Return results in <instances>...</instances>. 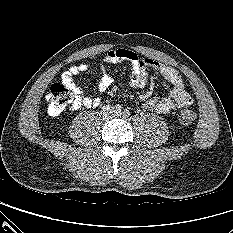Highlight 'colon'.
Returning a JSON list of instances; mask_svg holds the SVG:
<instances>
[{
  "label": "colon",
  "mask_w": 233,
  "mask_h": 233,
  "mask_svg": "<svg viewBox=\"0 0 233 233\" xmlns=\"http://www.w3.org/2000/svg\"><path fill=\"white\" fill-rule=\"evenodd\" d=\"M48 112L52 116L59 115L66 106L73 103L74 93L64 83L53 84L46 94ZM195 119V112L190 105L184 106L179 114L182 124H190Z\"/></svg>",
  "instance_id": "obj_1"
}]
</instances>
